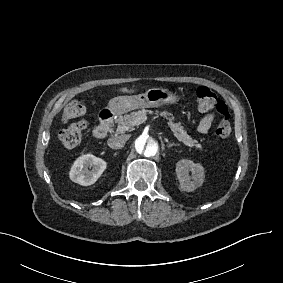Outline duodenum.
I'll return each mask as SVG.
<instances>
[{
  "mask_svg": "<svg viewBox=\"0 0 283 283\" xmlns=\"http://www.w3.org/2000/svg\"><path fill=\"white\" fill-rule=\"evenodd\" d=\"M113 121V114L110 111H105L100 115L99 123L94 128L93 134L97 139H104L110 131Z\"/></svg>",
  "mask_w": 283,
  "mask_h": 283,
  "instance_id": "1",
  "label": "duodenum"
}]
</instances>
